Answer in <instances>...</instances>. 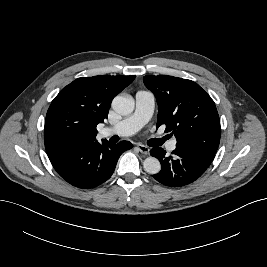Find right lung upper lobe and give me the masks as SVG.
<instances>
[{
    "instance_id": "obj_1",
    "label": "right lung upper lobe",
    "mask_w": 267,
    "mask_h": 267,
    "mask_svg": "<svg viewBox=\"0 0 267 267\" xmlns=\"http://www.w3.org/2000/svg\"><path fill=\"white\" fill-rule=\"evenodd\" d=\"M135 77H81L64 87L47 111L45 145L95 141L96 126L107 118L113 98Z\"/></svg>"
}]
</instances>
